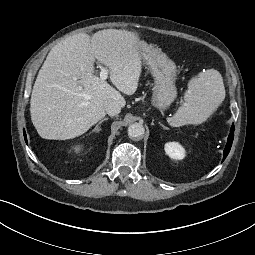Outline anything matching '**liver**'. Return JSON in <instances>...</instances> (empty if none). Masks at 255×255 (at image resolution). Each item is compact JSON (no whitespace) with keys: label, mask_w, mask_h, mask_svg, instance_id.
Listing matches in <instances>:
<instances>
[{"label":"liver","mask_w":255,"mask_h":255,"mask_svg":"<svg viewBox=\"0 0 255 255\" xmlns=\"http://www.w3.org/2000/svg\"><path fill=\"white\" fill-rule=\"evenodd\" d=\"M138 34L104 29L92 37L79 33L49 52L33 86L30 113L45 139H71L87 132L105 114L104 103L120 107L135 93L142 71ZM108 67L112 87L94 75V60Z\"/></svg>","instance_id":"obj_1"}]
</instances>
